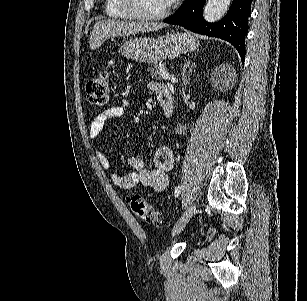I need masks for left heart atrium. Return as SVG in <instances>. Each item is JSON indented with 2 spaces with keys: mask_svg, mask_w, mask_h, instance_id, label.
Returning <instances> with one entry per match:
<instances>
[{
  "mask_svg": "<svg viewBox=\"0 0 307 301\" xmlns=\"http://www.w3.org/2000/svg\"><path fill=\"white\" fill-rule=\"evenodd\" d=\"M169 4H180L181 0H168Z\"/></svg>",
  "mask_w": 307,
  "mask_h": 301,
  "instance_id": "39dd6f15",
  "label": "left heart atrium"
}]
</instances>
